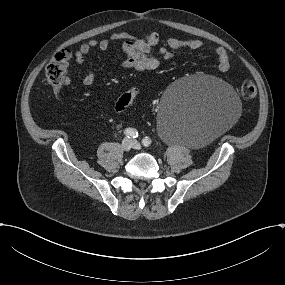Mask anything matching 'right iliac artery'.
Listing matches in <instances>:
<instances>
[{
    "label": "right iliac artery",
    "instance_id": "obj_1",
    "mask_svg": "<svg viewBox=\"0 0 285 285\" xmlns=\"http://www.w3.org/2000/svg\"><path fill=\"white\" fill-rule=\"evenodd\" d=\"M124 134L128 137V138H136L138 137V131L136 129L133 128H127L124 131Z\"/></svg>",
    "mask_w": 285,
    "mask_h": 285
}]
</instances>
